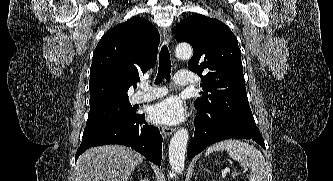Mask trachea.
<instances>
[{
  "label": "trachea",
  "instance_id": "3493384b",
  "mask_svg": "<svg viewBox=\"0 0 333 181\" xmlns=\"http://www.w3.org/2000/svg\"><path fill=\"white\" fill-rule=\"evenodd\" d=\"M171 73V61H170V53L166 45H164L159 53V70L156 79V84L160 83V81L165 78L168 81L170 80Z\"/></svg>",
  "mask_w": 333,
  "mask_h": 181
}]
</instances>
